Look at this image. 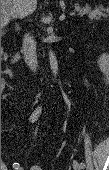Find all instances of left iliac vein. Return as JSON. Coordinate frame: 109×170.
<instances>
[{"instance_id": "1", "label": "left iliac vein", "mask_w": 109, "mask_h": 170, "mask_svg": "<svg viewBox=\"0 0 109 170\" xmlns=\"http://www.w3.org/2000/svg\"><path fill=\"white\" fill-rule=\"evenodd\" d=\"M73 168H74V170H82L83 169V167L81 166V164L78 161L73 162Z\"/></svg>"}]
</instances>
